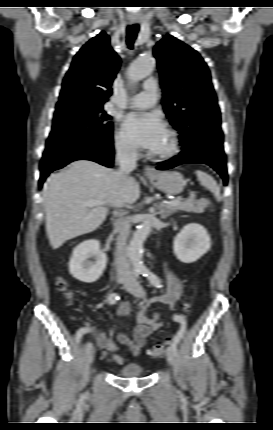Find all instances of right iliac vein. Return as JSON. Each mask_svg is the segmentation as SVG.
Segmentation results:
<instances>
[{
	"instance_id": "63e3f726",
	"label": "right iliac vein",
	"mask_w": 273,
	"mask_h": 430,
	"mask_svg": "<svg viewBox=\"0 0 273 430\" xmlns=\"http://www.w3.org/2000/svg\"><path fill=\"white\" fill-rule=\"evenodd\" d=\"M128 280L126 278H118V283L119 284H127ZM85 351H86V356H87V360L89 363H92L94 361V356H95V349L92 345V343H87L85 346Z\"/></svg>"
}]
</instances>
